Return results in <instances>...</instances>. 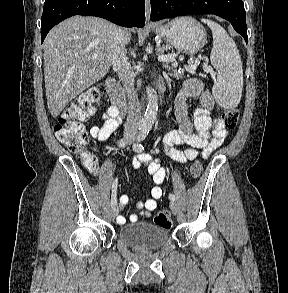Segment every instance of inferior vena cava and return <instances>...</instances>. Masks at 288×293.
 Masks as SVG:
<instances>
[{"label": "inferior vena cava", "instance_id": "obj_1", "mask_svg": "<svg viewBox=\"0 0 288 293\" xmlns=\"http://www.w3.org/2000/svg\"><path fill=\"white\" fill-rule=\"evenodd\" d=\"M113 69L118 73L128 99V115L125 123V136L135 137L141 120V107L137 92L134 87V75L125 50V30L119 28L114 42Z\"/></svg>", "mask_w": 288, "mask_h": 293}]
</instances>
